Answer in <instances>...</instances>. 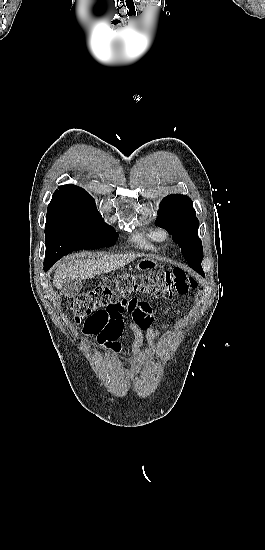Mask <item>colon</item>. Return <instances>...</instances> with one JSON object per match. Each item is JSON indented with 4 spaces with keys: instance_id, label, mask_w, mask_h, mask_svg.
Wrapping results in <instances>:
<instances>
[{
    "instance_id": "1",
    "label": "colon",
    "mask_w": 265,
    "mask_h": 550,
    "mask_svg": "<svg viewBox=\"0 0 265 550\" xmlns=\"http://www.w3.org/2000/svg\"><path fill=\"white\" fill-rule=\"evenodd\" d=\"M196 286V280L180 268L124 273L108 284L94 285L80 294L72 302L71 310L75 321L80 323L85 320L87 328L100 339H112L118 328L114 321L120 319L124 312L131 313L139 327L152 323L135 312L143 301L128 300L130 296L171 298L185 294Z\"/></svg>"
}]
</instances>
